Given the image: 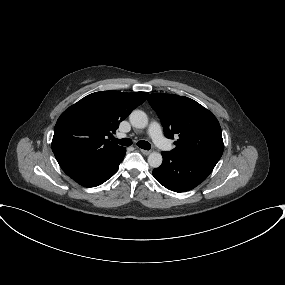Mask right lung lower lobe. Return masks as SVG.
I'll use <instances>...</instances> for the list:
<instances>
[{
  "instance_id": "1",
  "label": "right lung lower lobe",
  "mask_w": 285,
  "mask_h": 285,
  "mask_svg": "<svg viewBox=\"0 0 285 285\" xmlns=\"http://www.w3.org/2000/svg\"><path fill=\"white\" fill-rule=\"evenodd\" d=\"M126 153L123 147L113 152L88 156L74 152L56 157L62 170L75 182L84 187H95L112 177Z\"/></svg>"
}]
</instances>
